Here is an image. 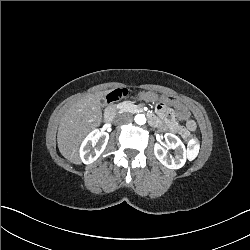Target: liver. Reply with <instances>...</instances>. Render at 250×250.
Returning <instances> with one entry per match:
<instances>
[{
	"label": "liver",
	"instance_id": "liver-1",
	"mask_svg": "<svg viewBox=\"0 0 250 250\" xmlns=\"http://www.w3.org/2000/svg\"><path fill=\"white\" fill-rule=\"evenodd\" d=\"M110 91L88 94L78 99L64 114L57 133L60 153L70 162L81 164L78 153L84 136L102 121L101 99Z\"/></svg>",
	"mask_w": 250,
	"mask_h": 250
}]
</instances>
